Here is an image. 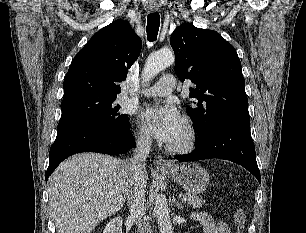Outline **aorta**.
<instances>
[{
    "label": "aorta",
    "instance_id": "aorta-1",
    "mask_svg": "<svg viewBox=\"0 0 306 233\" xmlns=\"http://www.w3.org/2000/svg\"><path fill=\"white\" fill-rule=\"evenodd\" d=\"M174 62L175 56L171 50H161L150 55L142 73L143 80L145 82L149 81ZM154 213L160 233H173L167 200L163 194H158L155 197Z\"/></svg>",
    "mask_w": 306,
    "mask_h": 233
}]
</instances>
